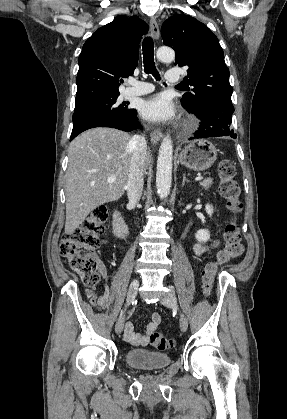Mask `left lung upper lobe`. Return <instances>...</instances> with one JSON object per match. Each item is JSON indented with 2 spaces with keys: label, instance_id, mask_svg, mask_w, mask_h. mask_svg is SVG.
I'll list each match as a JSON object with an SVG mask.
<instances>
[{
  "label": "left lung upper lobe",
  "instance_id": "obj_1",
  "mask_svg": "<svg viewBox=\"0 0 287 419\" xmlns=\"http://www.w3.org/2000/svg\"><path fill=\"white\" fill-rule=\"evenodd\" d=\"M163 43L174 49L175 65L188 67V85L181 102L188 111H198L212 99L231 100L229 70L217 37L189 15H175L162 25Z\"/></svg>",
  "mask_w": 287,
  "mask_h": 419
}]
</instances>
